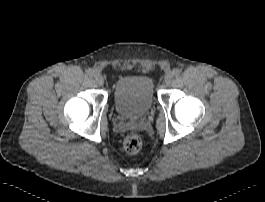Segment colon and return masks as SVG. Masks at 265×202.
<instances>
[{
  "label": "colon",
  "mask_w": 265,
  "mask_h": 202,
  "mask_svg": "<svg viewBox=\"0 0 265 202\" xmlns=\"http://www.w3.org/2000/svg\"><path fill=\"white\" fill-rule=\"evenodd\" d=\"M142 146V138L137 133L129 134L124 140V149L129 154H136Z\"/></svg>",
  "instance_id": "obj_1"
}]
</instances>
